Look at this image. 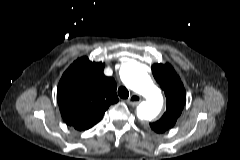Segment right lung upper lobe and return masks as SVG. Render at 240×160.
Masks as SVG:
<instances>
[{"mask_svg": "<svg viewBox=\"0 0 240 160\" xmlns=\"http://www.w3.org/2000/svg\"><path fill=\"white\" fill-rule=\"evenodd\" d=\"M102 62L78 58L64 72L57 102L65 122L79 131L98 123L111 104L118 102L116 82L103 74Z\"/></svg>", "mask_w": 240, "mask_h": 160, "instance_id": "cb5924a9", "label": "right lung upper lobe"}]
</instances>
